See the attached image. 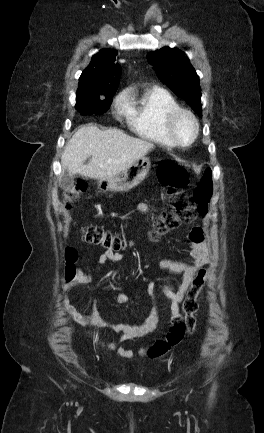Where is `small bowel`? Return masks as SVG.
Returning a JSON list of instances; mask_svg holds the SVG:
<instances>
[{"mask_svg":"<svg viewBox=\"0 0 264 433\" xmlns=\"http://www.w3.org/2000/svg\"><path fill=\"white\" fill-rule=\"evenodd\" d=\"M139 207L142 211H147L149 208L148 204L144 202L140 203ZM187 239L189 243L188 261L161 259L159 262V266L162 269L179 275L180 283L176 289L172 288L168 284H160L159 288L163 293V297L170 302L171 327L163 339L156 341L153 345L142 349L139 352L138 356L141 358L154 359L160 357L178 345L184 338L186 327L184 316L179 311V304L185 297L197 271L209 261V250L205 243L203 230L200 227L193 228L188 234ZM122 259L123 257L121 254L105 250L100 254L98 264L103 266L107 262H119ZM94 281L95 277L92 274L79 270L71 279H69L66 284V289H71L79 285L91 284ZM147 291L153 299L154 307L151 313L138 324L127 322L116 324L111 323L99 316L95 308H93L91 315H83L70 303L67 296L63 297V304L67 313L77 324L82 326L100 327L111 330L115 333H120L121 337L119 342H125L151 333L159 324L160 310L158 302L155 299V284L153 282H148ZM127 301L128 297L125 293H119L117 295V302L119 304H125ZM102 346L108 350L115 351L117 356L121 358L132 359L135 357V354L131 350L118 348L115 343Z\"/></svg>","mask_w":264,"mask_h":433,"instance_id":"c3829d8e","label":"small bowel"}]
</instances>
